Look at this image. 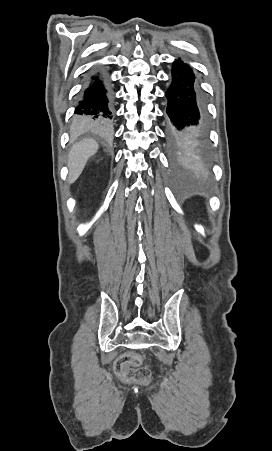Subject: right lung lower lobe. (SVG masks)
<instances>
[{"label":"right lung lower lobe","instance_id":"right-lung-lower-lobe-1","mask_svg":"<svg viewBox=\"0 0 272 451\" xmlns=\"http://www.w3.org/2000/svg\"><path fill=\"white\" fill-rule=\"evenodd\" d=\"M75 124L88 131H108L114 112L109 88L100 73L92 75L80 92L75 108Z\"/></svg>","mask_w":272,"mask_h":451}]
</instances>
